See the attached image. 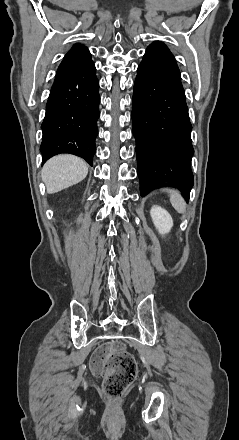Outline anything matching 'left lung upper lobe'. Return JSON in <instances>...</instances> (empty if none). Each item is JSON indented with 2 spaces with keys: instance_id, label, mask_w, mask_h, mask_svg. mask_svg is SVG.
<instances>
[{
  "instance_id": "left-lung-upper-lobe-1",
  "label": "left lung upper lobe",
  "mask_w": 239,
  "mask_h": 440,
  "mask_svg": "<svg viewBox=\"0 0 239 440\" xmlns=\"http://www.w3.org/2000/svg\"><path fill=\"white\" fill-rule=\"evenodd\" d=\"M154 43H162V42L157 41V42H154Z\"/></svg>"
}]
</instances>
